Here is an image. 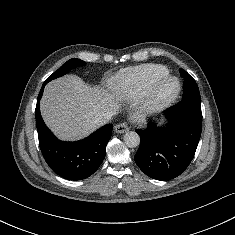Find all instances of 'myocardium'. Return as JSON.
<instances>
[{
  "mask_svg": "<svg viewBox=\"0 0 235 235\" xmlns=\"http://www.w3.org/2000/svg\"><path fill=\"white\" fill-rule=\"evenodd\" d=\"M174 83L173 91L167 96L158 94L159 88L166 83ZM181 92V83L179 79L172 75H165L154 80L145 94L140 98L141 108L148 112H157L170 106L179 96Z\"/></svg>",
  "mask_w": 235,
  "mask_h": 235,
  "instance_id": "f54148a6",
  "label": "myocardium"
}]
</instances>
